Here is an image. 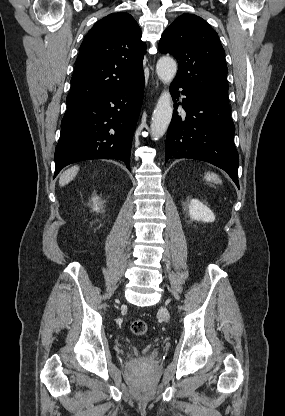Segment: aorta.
<instances>
[{
	"instance_id": "obj_1",
	"label": "aorta",
	"mask_w": 285,
	"mask_h": 416,
	"mask_svg": "<svg viewBox=\"0 0 285 416\" xmlns=\"http://www.w3.org/2000/svg\"><path fill=\"white\" fill-rule=\"evenodd\" d=\"M159 79L169 85L177 73V64L170 57H162L156 65ZM173 114L172 98L168 90H164L157 102L151 123V136L154 140L161 138L168 129Z\"/></svg>"
}]
</instances>
